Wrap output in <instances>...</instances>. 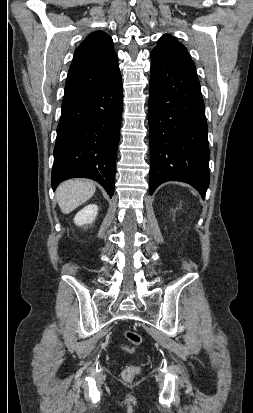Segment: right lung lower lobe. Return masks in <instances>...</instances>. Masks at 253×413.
<instances>
[{
    "mask_svg": "<svg viewBox=\"0 0 253 413\" xmlns=\"http://www.w3.org/2000/svg\"><path fill=\"white\" fill-rule=\"evenodd\" d=\"M123 89L120 70L79 98L62 102L52 169V188L70 178L99 182L114 193Z\"/></svg>",
    "mask_w": 253,
    "mask_h": 413,
    "instance_id": "obj_1",
    "label": "right lung lower lobe"
}]
</instances>
